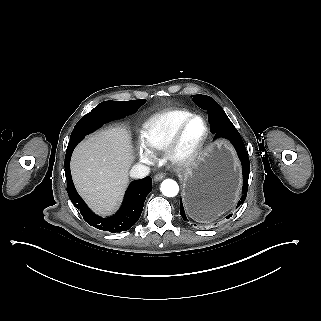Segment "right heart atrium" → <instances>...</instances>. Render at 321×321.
Listing matches in <instances>:
<instances>
[{
	"mask_svg": "<svg viewBox=\"0 0 321 321\" xmlns=\"http://www.w3.org/2000/svg\"><path fill=\"white\" fill-rule=\"evenodd\" d=\"M137 155L139 161L143 164L152 165L155 162V154L142 141L137 145Z\"/></svg>",
	"mask_w": 321,
	"mask_h": 321,
	"instance_id": "1",
	"label": "right heart atrium"
}]
</instances>
